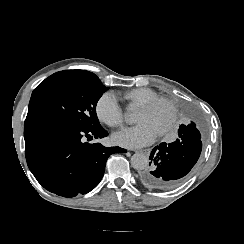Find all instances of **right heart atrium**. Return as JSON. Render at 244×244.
<instances>
[{
    "instance_id": "d8ad5b80",
    "label": "right heart atrium",
    "mask_w": 244,
    "mask_h": 244,
    "mask_svg": "<svg viewBox=\"0 0 244 244\" xmlns=\"http://www.w3.org/2000/svg\"><path fill=\"white\" fill-rule=\"evenodd\" d=\"M95 113L101 122L110 127H121L124 123V111L110 92L103 93L97 99Z\"/></svg>"
}]
</instances>
